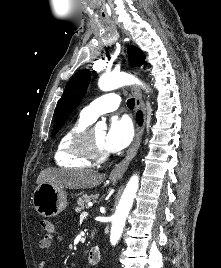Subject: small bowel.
<instances>
[{
    "mask_svg": "<svg viewBox=\"0 0 221 268\" xmlns=\"http://www.w3.org/2000/svg\"><path fill=\"white\" fill-rule=\"evenodd\" d=\"M60 239L61 238L56 234L54 228L51 232H46L39 242V250L41 255L43 256V254L51 247L54 241H59ZM48 264L49 262L42 257L39 262V268H47Z\"/></svg>",
    "mask_w": 221,
    "mask_h": 268,
    "instance_id": "c3829d8e",
    "label": "small bowel"
}]
</instances>
